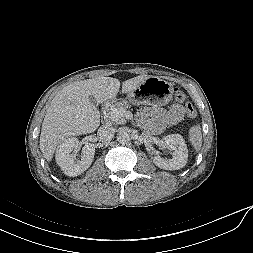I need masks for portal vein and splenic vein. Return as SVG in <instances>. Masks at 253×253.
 <instances>
[{"instance_id":"obj_1","label":"portal vein and splenic vein","mask_w":253,"mask_h":253,"mask_svg":"<svg viewBox=\"0 0 253 253\" xmlns=\"http://www.w3.org/2000/svg\"><path fill=\"white\" fill-rule=\"evenodd\" d=\"M124 117L128 120H132L133 114L130 111H126L123 109H121V110L115 109L109 113V118L112 121H118L119 119L124 118Z\"/></svg>"}]
</instances>
